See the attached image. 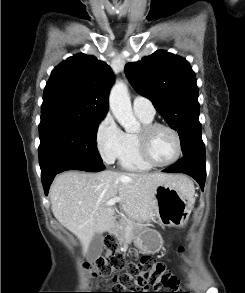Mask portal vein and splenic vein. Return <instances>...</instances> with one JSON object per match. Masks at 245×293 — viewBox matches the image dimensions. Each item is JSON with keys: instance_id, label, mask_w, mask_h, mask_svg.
Segmentation results:
<instances>
[{"instance_id": "obj_1", "label": "portal vein and splenic vein", "mask_w": 245, "mask_h": 293, "mask_svg": "<svg viewBox=\"0 0 245 293\" xmlns=\"http://www.w3.org/2000/svg\"><path fill=\"white\" fill-rule=\"evenodd\" d=\"M120 201H121V198L116 197V198L110 199V200L106 203V205H107V206H113L115 203L120 202Z\"/></svg>"}]
</instances>
